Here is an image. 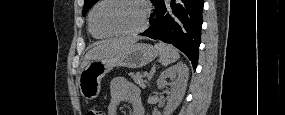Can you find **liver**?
I'll list each match as a JSON object with an SVG mask.
<instances>
[{"label": "liver", "instance_id": "6515ba94", "mask_svg": "<svg viewBox=\"0 0 285 115\" xmlns=\"http://www.w3.org/2000/svg\"><path fill=\"white\" fill-rule=\"evenodd\" d=\"M136 41L137 39L135 38H119L97 43L86 53L81 69L92 60H99L122 53Z\"/></svg>", "mask_w": 285, "mask_h": 115}]
</instances>
